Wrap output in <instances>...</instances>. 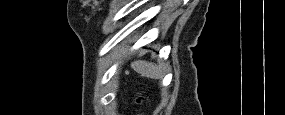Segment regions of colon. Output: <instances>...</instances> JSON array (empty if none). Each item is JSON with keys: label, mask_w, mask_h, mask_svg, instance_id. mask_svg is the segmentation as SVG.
<instances>
[{"label": "colon", "mask_w": 285, "mask_h": 115, "mask_svg": "<svg viewBox=\"0 0 285 115\" xmlns=\"http://www.w3.org/2000/svg\"><path fill=\"white\" fill-rule=\"evenodd\" d=\"M138 101H139V103H141V102H142V100H141V99H139Z\"/></svg>", "instance_id": "1"}]
</instances>
